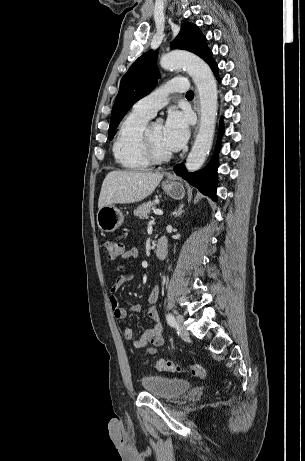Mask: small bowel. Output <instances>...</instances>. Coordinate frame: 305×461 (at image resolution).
Instances as JSON below:
<instances>
[{
    "label": "small bowel",
    "instance_id": "obj_1",
    "mask_svg": "<svg viewBox=\"0 0 305 461\" xmlns=\"http://www.w3.org/2000/svg\"><path fill=\"white\" fill-rule=\"evenodd\" d=\"M139 255V250L137 247H131L127 249L123 254V259L133 260L136 259ZM118 271L121 273L117 277L115 283L110 289L109 303L113 312V315L117 319H124L130 313H139L142 310V306L135 304L130 308H124L120 305L116 292L127 282L132 279V273L130 269L124 265L120 264L117 267ZM159 296V287L155 286L151 290L148 297V316L152 322L151 328L147 329L141 336L133 341V345L137 349L146 348L144 355H154L158 352V349L162 347L165 343V336L163 333L162 324L159 319L156 301ZM124 338L126 340H132L134 338V331L131 328H125L123 332Z\"/></svg>",
    "mask_w": 305,
    "mask_h": 461
}]
</instances>
